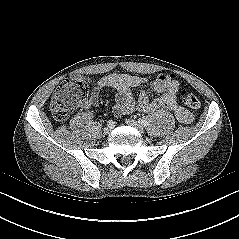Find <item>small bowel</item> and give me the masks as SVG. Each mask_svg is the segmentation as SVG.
<instances>
[{
    "instance_id": "small-bowel-1",
    "label": "small bowel",
    "mask_w": 239,
    "mask_h": 239,
    "mask_svg": "<svg viewBox=\"0 0 239 239\" xmlns=\"http://www.w3.org/2000/svg\"><path fill=\"white\" fill-rule=\"evenodd\" d=\"M92 85V92L89 99L84 103L85 107L95 106L99 102L100 90L103 87H110L115 90L116 98L113 112L116 115L128 114L134 111L154 113L161 108H167L175 117L184 124L193 121L190 111L182 107L177 99L179 81L170 74L161 73L155 80L127 74H108L98 79H89ZM147 85L158 96L150 99L147 92L142 90L137 99L132 95V90Z\"/></svg>"
}]
</instances>
